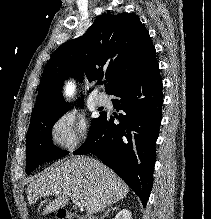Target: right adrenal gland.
Returning a JSON list of instances; mask_svg holds the SVG:
<instances>
[{"mask_svg":"<svg viewBox=\"0 0 211 219\" xmlns=\"http://www.w3.org/2000/svg\"><path fill=\"white\" fill-rule=\"evenodd\" d=\"M117 209H118V206H117V205H115L114 207L111 206V207L108 208V210L104 213V215L101 216L100 219H104L105 217H107V216L109 215L110 212H113V211H115V210H117Z\"/></svg>","mask_w":211,"mask_h":219,"instance_id":"right-adrenal-gland-1","label":"right adrenal gland"}]
</instances>
